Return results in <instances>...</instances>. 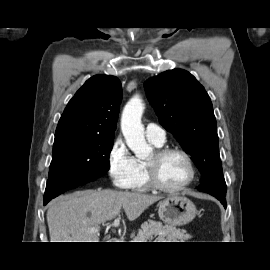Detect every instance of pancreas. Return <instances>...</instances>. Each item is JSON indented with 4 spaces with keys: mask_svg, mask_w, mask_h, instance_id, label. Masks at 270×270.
Instances as JSON below:
<instances>
[{
    "mask_svg": "<svg viewBox=\"0 0 270 270\" xmlns=\"http://www.w3.org/2000/svg\"><path fill=\"white\" fill-rule=\"evenodd\" d=\"M156 236H160L170 242H184V240L191 238V235L187 234L183 229L149 220L138 230L137 236L132 242H151Z\"/></svg>",
    "mask_w": 270,
    "mask_h": 270,
    "instance_id": "pancreas-1",
    "label": "pancreas"
}]
</instances>
